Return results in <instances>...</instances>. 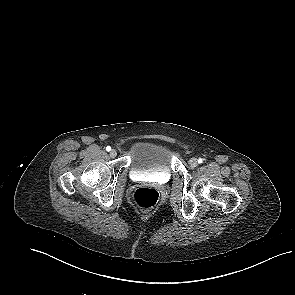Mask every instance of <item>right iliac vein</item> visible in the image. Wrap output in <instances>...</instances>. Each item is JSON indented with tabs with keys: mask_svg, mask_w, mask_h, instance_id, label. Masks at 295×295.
I'll return each mask as SVG.
<instances>
[{
	"mask_svg": "<svg viewBox=\"0 0 295 295\" xmlns=\"http://www.w3.org/2000/svg\"><path fill=\"white\" fill-rule=\"evenodd\" d=\"M117 156V151L115 149H112L110 151V157L115 158Z\"/></svg>",
	"mask_w": 295,
	"mask_h": 295,
	"instance_id": "1",
	"label": "right iliac vein"
}]
</instances>
